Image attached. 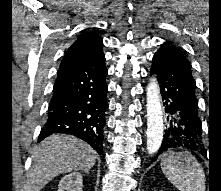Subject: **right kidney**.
<instances>
[{
	"label": "right kidney",
	"mask_w": 221,
	"mask_h": 191,
	"mask_svg": "<svg viewBox=\"0 0 221 191\" xmlns=\"http://www.w3.org/2000/svg\"><path fill=\"white\" fill-rule=\"evenodd\" d=\"M83 179L79 172L64 176L59 182L58 191H82Z\"/></svg>",
	"instance_id": "ca27d5eb"
}]
</instances>
